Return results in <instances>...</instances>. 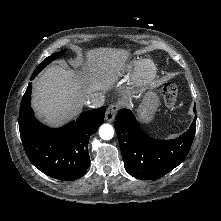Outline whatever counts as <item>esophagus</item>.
Masks as SVG:
<instances>
[{
    "label": "esophagus",
    "instance_id": "obj_1",
    "mask_svg": "<svg viewBox=\"0 0 221 221\" xmlns=\"http://www.w3.org/2000/svg\"><path fill=\"white\" fill-rule=\"evenodd\" d=\"M118 109H119L118 105L116 104L110 105L106 110V114H105L106 121L112 122L116 116Z\"/></svg>",
    "mask_w": 221,
    "mask_h": 221
}]
</instances>
